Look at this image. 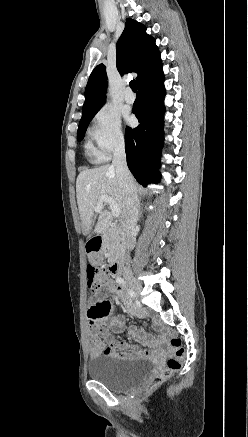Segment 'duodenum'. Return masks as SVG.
<instances>
[{
    "instance_id": "obj_1",
    "label": "duodenum",
    "mask_w": 248,
    "mask_h": 437,
    "mask_svg": "<svg viewBox=\"0 0 248 437\" xmlns=\"http://www.w3.org/2000/svg\"><path fill=\"white\" fill-rule=\"evenodd\" d=\"M104 238L101 236L93 237L86 246V255L88 257H95L103 248ZM124 261L122 258H117L112 262L111 271L114 275L121 273Z\"/></svg>"
}]
</instances>
